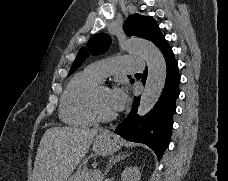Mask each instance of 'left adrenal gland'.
I'll use <instances>...</instances> for the list:
<instances>
[{
	"mask_svg": "<svg viewBox=\"0 0 228 181\" xmlns=\"http://www.w3.org/2000/svg\"><path fill=\"white\" fill-rule=\"evenodd\" d=\"M126 157H129V155H122V153H119V155H115V157H111L105 173H110V169H112L113 165H116V163H120V161H124Z\"/></svg>",
	"mask_w": 228,
	"mask_h": 181,
	"instance_id": "1",
	"label": "left adrenal gland"
}]
</instances>
